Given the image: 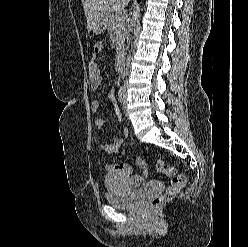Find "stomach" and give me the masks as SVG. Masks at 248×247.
Here are the masks:
<instances>
[{"mask_svg":"<svg viewBox=\"0 0 248 247\" xmlns=\"http://www.w3.org/2000/svg\"><path fill=\"white\" fill-rule=\"evenodd\" d=\"M108 23L107 14L103 15L92 28L94 34H101L106 30Z\"/></svg>","mask_w":248,"mask_h":247,"instance_id":"0dacf381","label":"stomach"}]
</instances>
